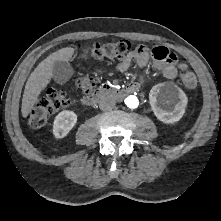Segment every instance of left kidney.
<instances>
[{
	"label": "left kidney",
	"instance_id": "left-kidney-1",
	"mask_svg": "<svg viewBox=\"0 0 221 221\" xmlns=\"http://www.w3.org/2000/svg\"><path fill=\"white\" fill-rule=\"evenodd\" d=\"M150 106L163 123L178 122L184 115L188 103L186 94L173 83H161L152 87L149 93Z\"/></svg>",
	"mask_w": 221,
	"mask_h": 221
}]
</instances>
